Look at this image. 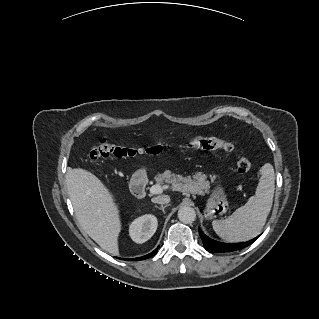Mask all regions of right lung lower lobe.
<instances>
[{"label": "right lung lower lobe", "instance_id": "98d812e1", "mask_svg": "<svg viewBox=\"0 0 319 319\" xmlns=\"http://www.w3.org/2000/svg\"><path fill=\"white\" fill-rule=\"evenodd\" d=\"M158 248H159V246H158L154 251H152L151 253H149V254H147V255H145V256H142V257L131 258V259L123 258V259H124V260H130V261H134V260H135V261L144 260V259H147V258H150V257L154 256V255L157 253Z\"/></svg>", "mask_w": 319, "mask_h": 319}]
</instances>
